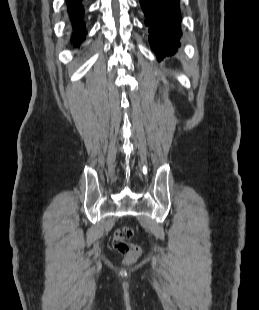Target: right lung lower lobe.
Returning a JSON list of instances; mask_svg holds the SVG:
<instances>
[{"mask_svg": "<svg viewBox=\"0 0 259 310\" xmlns=\"http://www.w3.org/2000/svg\"><path fill=\"white\" fill-rule=\"evenodd\" d=\"M67 11L72 26L71 40L75 46H78L85 39L87 34L85 23L83 21L84 10L82 8V0H66Z\"/></svg>", "mask_w": 259, "mask_h": 310, "instance_id": "98d812e1", "label": "right lung lower lobe"}]
</instances>
